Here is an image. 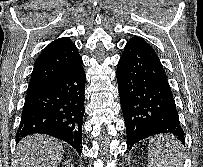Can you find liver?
Wrapping results in <instances>:
<instances>
[{
    "label": "liver",
    "instance_id": "1",
    "mask_svg": "<svg viewBox=\"0 0 203 167\" xmlns=\"http://www.w3.org/2000/svg\"><path fill=\"white\" fill-rule=\"evenodd\" d=\"M61 143L46 135L36 134L20 141L16 149L17 167H57L63 156Z\"/></svg>",
    "mask_w": 203,
    "mask_h": 167
}]
</instances>
